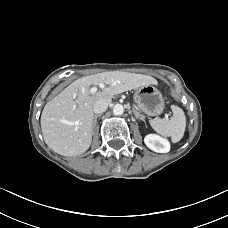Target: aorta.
<instances>
[{
    "mask_svg": "<svg viewBox=\"0 0 228 228\" xmlns=\"http://www.w3.org/2000/svg\"><path fill=\"white\" fill-rule=\"evenodd\" d=\"M124 113V107L121 104H116L113 107V114L116 116L122 115Z\"/></svg>",
    "mask_w": 228,
    "mask_h": 228,
    "instance_id": "aorta-1",
    "label": "aorta"
}]
</instances>
